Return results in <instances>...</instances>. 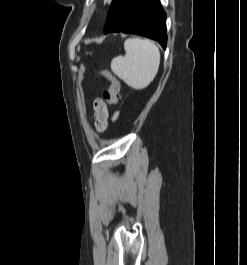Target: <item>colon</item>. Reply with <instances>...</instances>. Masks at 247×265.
<instances>
[{"mask_svg": "<svg viewBox=\"0 0 247 265\" xmlns=\"http://www.w3.org/2000/svg\"><path fill=\"white\" fill-rule=\"evenodd\" d=\"M99 74L103 75L108 81L109 86L103 92V99L109 105L115 104L118 101L120 93V83L108 70L101 69Z\"/></svg>", "mask_w": 247, "mask_h": 265, "instance_id": "5ec220e1", "label": "colon"}]
</instances>
